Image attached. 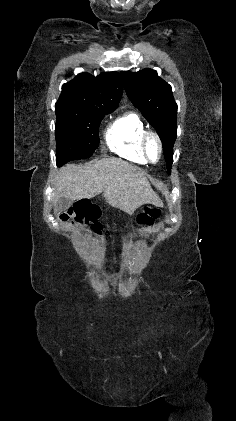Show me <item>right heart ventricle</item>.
<instances>
[{"mask_svg":"<svg viewBox=\"0 0 236 421\" xmlns=\"http://www.w3.org/2000/svg\"><path fill=\"white\" fill-rule=\"evenodd\" d=\"M145 131L146 127L140 115L128 111L108 126L105 140L113 153L134 163L145 164L147 161L141 150V137Z\"/></svg>","mask_w":236,"mask_h":421,"instance_id":"right-heart-ventricle-1","label":"right heart ventricle"}]
</instances>
